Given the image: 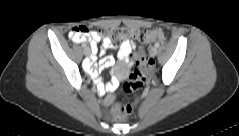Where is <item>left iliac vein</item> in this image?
<instances>
[{
    "mask_svg": "<svg viewBox=\"0 0 239 136\" xmlns=\"http://www.w3.org/2000/svg\"><path fill=\"white\" fill-rule=\"evenodd\" d=\"M150 55L152 57H155L157 55V48L156 47H152L149 51Z\"/></svg>",
    "mask_w": 239,
    "mask_h": 136,
    "instance_id": "1",
    "label": "left iliac vein"
}]
</instances>
